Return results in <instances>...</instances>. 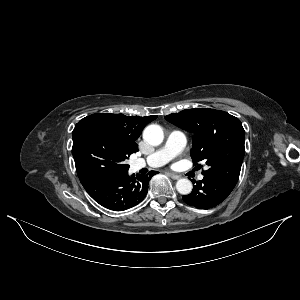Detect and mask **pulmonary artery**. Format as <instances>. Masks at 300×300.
<instances>
[{
    "mask_svg": "<svg viewBox=\"0 0 300 300\" xmlns=\"http://www.w3.org/2000/svg\"><path fill=\"white\" fill-rule=\"evenodd\" d=\"M187 139L183 132L174 130L169 133L165 144L146 158H138L131 163L133 171L144 167L156 168L165 165L186 147ZM203 179V175L199 176Z\"/></svg>",
    "mask_w": 300,
    "mask_h": 300,
    "instance_id": "1",
    "label": "pulmonary artery"
}]
</instances>
